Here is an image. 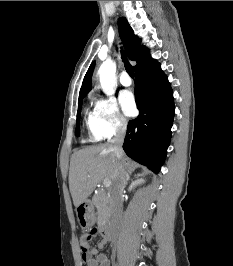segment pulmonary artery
<instances>
[{
	"label": "pulmonary artery",
	"instance_id": "1",
	"mask_svg": "<svg viewBox=\"0 0 233 266\" xmlns=\"http://www.w3.org/2000/svg\"><path fill=\"white\" fill-rule=\"evenodd\" d=\"M119 80L120 83L125 87H129L132 84V80L126 72H123L121 74Z\"/></svg>",
	"mask_w": 233,
	"mask_h": 266
}]
</instances>
